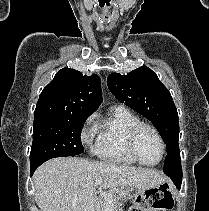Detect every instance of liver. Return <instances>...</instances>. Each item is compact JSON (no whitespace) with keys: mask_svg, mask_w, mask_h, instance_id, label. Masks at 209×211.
<instances>
[{"mask_svg":"<svg viewBox=\"0 0 209 211\" xmlns=\"http://www.w3.org/2000/svg\"><path fill=\"white\" fill-rule=\"evenodd\" d=\"M122 194L124 188L148 190L164 181L153 169L83 158H54L34 173L35 201L40 211H99L97 186Z\"/></svg>","mask_w":209,"mask_h":211,"instance_id":"liver-1","label":"liver"}]
</instances>
